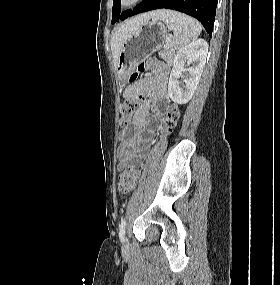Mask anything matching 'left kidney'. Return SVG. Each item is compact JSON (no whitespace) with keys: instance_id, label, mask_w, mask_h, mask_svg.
I'll return each mask as SVG.
<instances>
[{"instance_id":"5707ae66","label":"left kidney","mask_w":280,"mask_h":285,"mask_svg":"<svg viewBox=\"0 0 280 285\" xmlns=\"http://www.w3.org/2000/svg\"><path fill=\"white\" fill-rule=\"evenodd\" d=\"M207 52L208 44L203 39L193 41L177 52L168 83V94L174 103L186 104L192 98L205 66ZM186 61L188 67L185 69ZM183 71H187L188 76L183 79L185 85L180 87L178 79L183 77Z\"/></svg>"}]
</instances>
